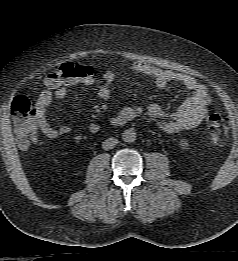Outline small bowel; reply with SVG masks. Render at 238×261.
<instances>
[{
  "instance_id": "c3829d8e",
  "label": "small bowel",
  "mask_w": 238,
  "mask_h": 261,
  "mask_svg": "<svg viewBox=\"0 0 238 261\" xmlns=\"http://www.w3.org/2000/svg\"><path fill=\"white\" fill-rule=\"evenodd\" d=\"M129 70L137 74L152 77L159 88H164L171 82L179 83L189 90L191 95L172 113L164 112L158 104H150L145 108L141 106H127L111 119L113 126H124L137 118H142L147 122L155 123L165 133L178 134L196 127L205 118L207 109L211 103V98L207 88L194 77L171 70H162L141 61L131 64ZM120 76V71L113 70H108L103 74L104 83L98 90V95L101 99H109L111 95V85ZM93 82V75H88L57 86L48 84V88L38 96L35 105L37 125L45 136L48 138H57L71 132L69 125H61L55 128L49 123L47 108L51 102L55 99H63L68 89L73 85L84 84L89 86L92 85ZM99 129L100 126L95 122L88 125V130L91 133H97Z\"/></svg>"
}]
</instances>
